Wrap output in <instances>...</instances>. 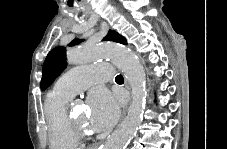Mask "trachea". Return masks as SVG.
<instances>
[{
    "instance_id": "3493384b",
    "label": "trachea",
    "mask_w": 227,
    "mask_h": 149,
    "mask_svg": "<svg viewBox=\"0 0 227 149\" xmlns=\"http://www.w3.org/2000/svg\"><path fill=\"white\" fill-rule=\"evenodd\" d=\"M115 81L116 82H122V81H124V78H123L122 75H117L116 78H115Z\"/></svg>"
}]
</instances>
